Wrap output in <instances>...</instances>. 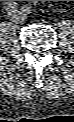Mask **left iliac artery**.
<instances>
[{"instance_id":"44dca946","label":"left iliac artery","mask_w":74,"mask_h":122,"mask_svg":"<svg viewBox=\"0 0 74 122\" xmlns=\"http://www.w3.org/2000/svg\"><path fill=\"white\" fill-rule=\"evenodd\" d=\"M22 9L25 14H29L32 11V7L29 5L24 6Z\"/></svg>"}]
</instances>
